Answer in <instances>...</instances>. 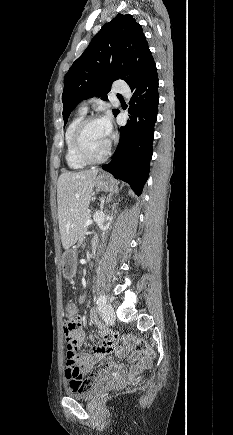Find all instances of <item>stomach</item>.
Here are the masks:
<instances>
[{"label": "stomach", "mask_w": 233, "mask_h": 435, "mask_svg": "<svg viewBox=\"0 0 233 435\" xmlns=\"http://www.w3.org/2000/svg\"><path fill=\"white\" fill-rule=\"evenodd\" d=\"M94 186L97 191H113L115 183L113 178L106 173L98 175ZM77 272V254L72 249H67L62 255V274L66 279H72Z\"/></svg>", "instance_id": "stomach-1"}]
</instances>
